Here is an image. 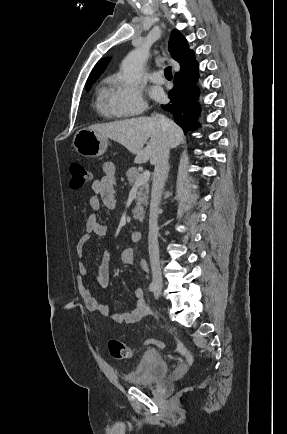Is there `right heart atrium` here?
<instances>
[{"label":"right heart atrium","mask_w":287,"mask_h":434,"mask_svg":"<svg viewBox=\"0 0 287 434\" xmlns=\"http://www.w3.org/2000/svg\"><path fill=\"white\" fill-rule=\"evenodd\" d=\"M110 99L113 109L121 116L141 114L147 108L141 88L124 81L120 76L113 78Z\"/></svg>","instance_id":"right-heart-atrium-1"}]
</instances>
